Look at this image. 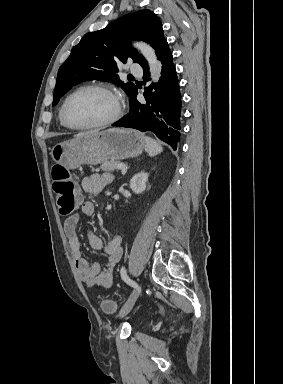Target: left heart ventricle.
Masks as SVG:
<instances>
[{
	"mask_svg": "<svg viewBox=\"0 0 283 384\" xmlns=\"http://www.w3.org/2000/svg\"><path fill=\"white\" fill-rule=\"evenodd\" d=\"M112 111L113 103L109 96L100 91L88 90L70 99L66 118L72 126L81 127L108 118Z\"/></svg>",
	"mask_w": 283,
	"mask_h": 384,
	"instance_id": "left-heart-ventricle-1",
	"label": "left heart ventricle"
}]
</instances>
